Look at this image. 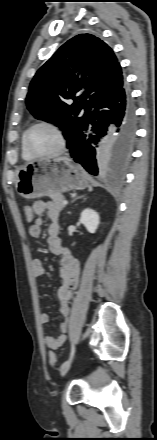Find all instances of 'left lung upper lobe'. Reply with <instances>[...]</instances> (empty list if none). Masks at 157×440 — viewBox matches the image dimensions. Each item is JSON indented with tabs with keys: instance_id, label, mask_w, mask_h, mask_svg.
<instances>
[{
	"instance_id": "left-lung-upper-lobe-1",
	"label": "left lung upper lobe",
	"mask_w": 157,
	"mask_h": 440,
	"mask_svg": "<svg viewBox=\"0 0 157 440\" xmlns=\"http://www.w3.org/2000/svg\"><path fill=\"white\" fill-rule=\"evenodd\" d=\"M122 87V70L112 49L94 35L79 34L37 71L26 104L35 118L58 124L68 148L91 109Z\"/></svg>"
}]
</instances>
